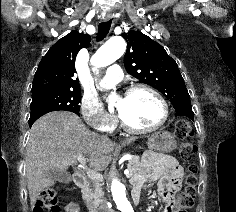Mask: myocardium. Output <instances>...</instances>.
<instances>
[{
	"mask_svg": "<svg viewBox=\"0 0 236 212\" xmlns=\"http://www.w3.org/2000/svg\"><path fill=\"white\" fill-rule=\"evenodd\" d=\"M138 90H145L149 93H151L152 95H154L157 100L159 101V103L162 106V117L160 119L159 122H157L154 126L149 127V128H144V129H140V128H134L132 126H130L120 115H118V122L120 124V126L129 133L132 134H148V133H152L157 131L159 128H161L168 120L169 118V106L167 101L165 100V98L162 96V94L156 90L155 88L147 85V84H143V83H137V84H133L131 86H129L126 90L124 95H129L132 94Z\"/></svg>",
	"mask_w": 236,
	"mask_h": 212,
	"instance_id": "obj_1",
	"label": "myocardium"
}]
</instances>
